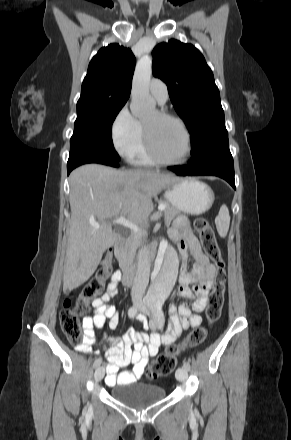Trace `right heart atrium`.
Masks as SVG:
<instances>
[{"label":"right heart atrium","instance_id":"1","mask_svg":"<svg viewBox=\"0 0 291 440\" xmlns=\"http://www.w3.org/2000/svg\"><path fill=\"white\" fill-rule=\"evenodd\" d=\"M141 135V123L131 114L128 106H123L111 126V138L115 150L121 156L128 158L137 148Z\"/></svg>","mask_w":291,"mask_h":440}]
</instances>
